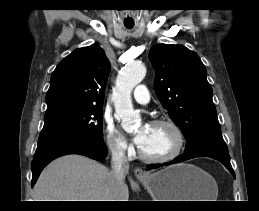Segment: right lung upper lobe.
<instances>
[{
	"label": "right lung upper lobe",
	"instance_id": "right-lung-upper-lobe-1",
	"mask_svg": "<svg viewBox=\"0 0 259 211\" xmlns=\"http://www.w3.org/2000/svg\"><path fill=\"white\" fill-rule=\"evenodd\" d=\"M109 61L97 44L74 50L51 76L44 123L83 109L102 106Z\"/></svg>",
	"mask_w": 259,
	"mask_h": 211
}]
</instances>
